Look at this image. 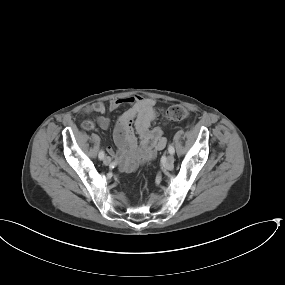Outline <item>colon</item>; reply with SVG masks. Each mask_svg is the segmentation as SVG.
<instances>
[{
  "instance_id": "5ec220e1",
  "label": "colon",
  "mask_w": 285,
  "mask_h": 285,
  "mask_svg": "<svg viewBox=\"0 0 285 285\" xmlns=\"http://www.w3.org/2000/svg\"><path fill=\"white\" fill-rule=\"evenodd\" d=\"M186 116H187V110L185 107L181 105H173L166 112V117L172 121L182 120Z\"/></svg>"
}]
</instances>
